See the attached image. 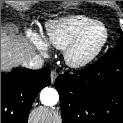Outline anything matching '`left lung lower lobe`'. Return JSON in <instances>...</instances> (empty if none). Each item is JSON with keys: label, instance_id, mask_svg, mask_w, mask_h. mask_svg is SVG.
I'll list each match as a JSON object with an SVG mask.
<instances>
[{"label": "left lung lower lobe", "instance_id": "1", "mask_svg": "<svg viewBox=\"0 0 123 123\" xmlns=\"http://www.w3.org/2000/svg\"><path fill=\"white\" fill-rule=\"evenodd\" d=\"M63 123H123V49L57 77Z\"/></svg>", "mask_w": 123, "mask_h": 123}]
</instances>
